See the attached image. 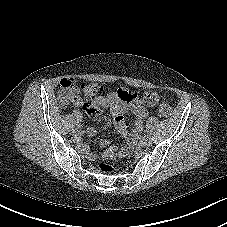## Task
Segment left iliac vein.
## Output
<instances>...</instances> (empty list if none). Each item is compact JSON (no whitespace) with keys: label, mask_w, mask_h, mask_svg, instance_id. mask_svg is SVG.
<instances>
[{"label":"left iliac vein","mask_w":227,"mask_h":227,"mask_svg":"<svg viewBox=\"0 0 227 227\" xmlns=\"http://www.w3.org/2000/svg\"><path fill=\"white\" fill-rule=\"evenodd\" d=\"M141 145L143 147H149L152 145V139L150 137H144L142 140H141Z\"/></svg>","instance_id":"left-iliac-vein-1"}]
</instances>
